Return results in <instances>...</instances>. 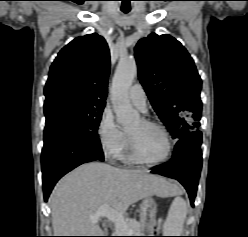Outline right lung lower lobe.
I'll use <instances>...</instances> for the list:
<instances>
[{
	"instance_id": "right-lung-lower-lobe-1",
	"label": "right lung lower lobe",
	"mask_w": 248,
	"mask_h": 237,
	"mask_svg": "<svg viewBox=\"0 0 248 237\" xmlns=\"http://www.w3.org/2000/svg\"><path fill=\"white\" fill-rule=\"evenodd\" d=\"M104 160L96 132L50 127L44 130L41 154L44 199L47 201L56 182L80 164Z\"/></svg>"
}]
</instances>
